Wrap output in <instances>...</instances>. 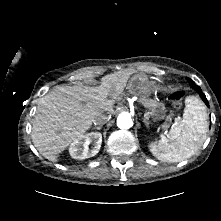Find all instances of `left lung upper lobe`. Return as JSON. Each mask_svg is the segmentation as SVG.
I'll use <instances>...</instances> for the list:
<instances>
[{
    "instance_id": "obj_1",
    "label": "left lung upper lobe",
    "mask_w": 221,
    "mask_h": 221,
    "mask_svg": "<svg viewBox=\"0 0 221 221\" xmlns=\"http://www.w3.org/2000/svg\"><path fill=\"white\" fill-rule=\"evenodd\" d=\"M189 80L193 83V81L191 79H189Z\"/></svg>"
}]
</instances>
